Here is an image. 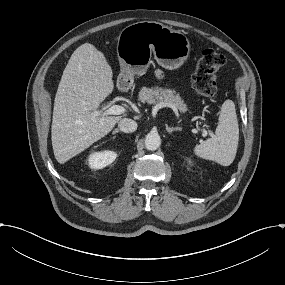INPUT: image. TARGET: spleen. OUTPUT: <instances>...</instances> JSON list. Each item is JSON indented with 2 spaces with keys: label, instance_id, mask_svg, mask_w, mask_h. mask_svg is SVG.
Returning <instances> with one entry per match:
<instances>
[{
  "label": "spleen",
  "instance_id": "3e777b00",
  "mask_svg": "<svg viewBox=\"0 0 285 285\" xmlns=\"http://www.w3.org/2000/svg\"><path fill=\"white\" fill-rule=\"evenodd\" d=\"M239 142V126L232 100H226L219 115V124L212 138L196 145L194 153L203 159L212 160L222 166L233 163Z\"/></svg>",
  "mask_w": 285,
  "mask_h": 285
}]
</instances>
